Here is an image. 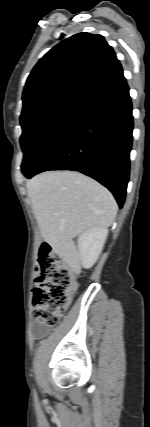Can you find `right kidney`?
Returning <instances> with one entry per match:
<instances>
[{"instance_id":"ca27d5eb","label":"right kidney","mask_w":150,"mask_h":427,"mask_svg":"<svg viewBox=\"0 0 150 427\" xmlns=\"http://www.w3.org/2000/svg\"><path fill=\"white\" fill-rule=\"evenodd\" d=\"M108 235L107 228L92 227L78 238V249L82 266L92 267L99 258Z\"/></svg>"}]
</instances>
